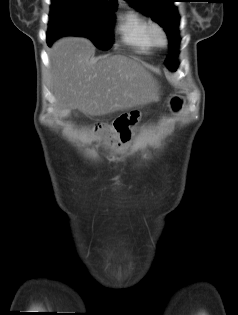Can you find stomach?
Returning <instances> with one entry per match:
<instances>
[{"label": "stomach", "mask_w": 238, "mask_h": 315, "mask_svg": "<svg viewBox=\"0 0 238 315\" xmlns=\"http://www.w3.org/2000/svg\"><path fill=\"white\" fill-rule=\"evenodd\" d=\"M181 105H183V94H170V98L166 102L168 112H179Z\"/></svg>", "instance_id": "0dacf381"}]
</instances>
